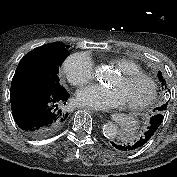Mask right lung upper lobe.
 <instances>
[{
    "label": "right lung upper lobe",
    "mask_w": 177,
    "mask_h": 177,
    "mask_svg": "<svg viewBox=\"0 0 177 177\" xmlns=\"http://www.w3.org/2000/svg\"><path fill=\"white\" fill-rule=\"evenodd\" d=\"M63 46H64V44L60 43V42L50 43V44L43 45V46H40L38 48H35L31 52H29L27 55H32V54H35V53H42V52L45 53V54L53 53L56 50H59Z\"/></svg>",
    "instance_id": "cb5924a9"
}]
</instances>
